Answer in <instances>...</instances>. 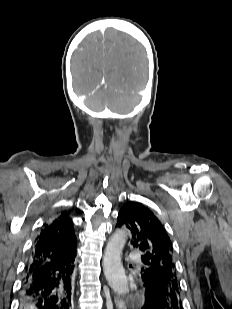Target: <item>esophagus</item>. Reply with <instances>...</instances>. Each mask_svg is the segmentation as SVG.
Segmentation results:
<instances>
[{
	"mask_svg": "<svg viewBox=\"0 0 232 309\" xmlns=\"http://www.w3.org/2000/svg\"><path fill=\"white\" fill-rule=\"evenodd\" d=\"M115 302H116V304H117V306H118L119 308L122 307L121 302L119 301L118 298H115Z\"/></svg>",
	"mask_w": 232,
	"mask_h": 309,
	"instance_id": "esophagus-1",
	"label": "esophagus"
}]
</instances>
